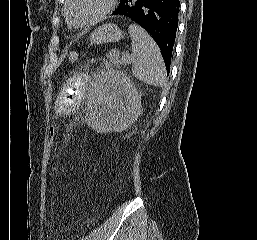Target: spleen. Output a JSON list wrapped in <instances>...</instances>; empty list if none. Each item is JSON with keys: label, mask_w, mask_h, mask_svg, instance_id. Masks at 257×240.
I'll list each match as a JSON object with an SVG mask.
<instances>
[{"label": "spleen", "mask_w": 257, "mask_h": 240, "mask_svg": "<svg viewBox=\"0 0 257 240\" xmlns=\"http://www.w3.org/2000/svg\"><path fill=\"white\" fill-rule=\"evenodd\" d=\"M132 40L133 62L132 74L140 81L163 87L166 84V70L160 49L151 36L138 25L128 28Z\"/></svg>", "instance_id": "obj_1"}]
</instances>
